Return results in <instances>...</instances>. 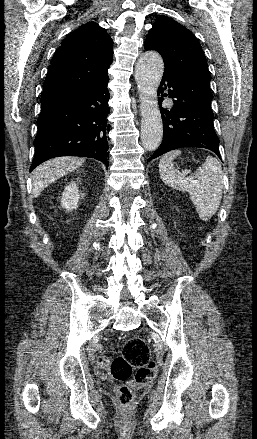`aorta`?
<instances>
[{
    "label": "aorta",
    "instance_id": "1",
    "mask_svg": "<svg viewBox=\"0 0 257 439\" xmlns=\"http://www.w3.org/2000/svg\"><path fill=\"white\" fill-rule=\"evenodd\" d=\"M164 72L162 57L155 51L143 53L136 64L135 80L141 110V141L148 151L156 150L163 135L157 90Z\"/></svg>",
    "mask_w": 257,
    "mask_h": 439
}]
</instances>
